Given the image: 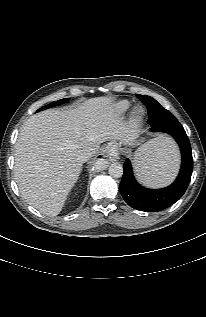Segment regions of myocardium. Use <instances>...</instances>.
Segmentation results:
<instances>
[{
	"mask_svg": "<svg viewBox=\"0 0 206 317\" xmlns=\"http://www.w3.org/2000/svg\"><path fill=\"white\" fill-rule=\"evenodd\" d=\"M144 115V109L142 107H137L135 110H134V119L135 120H139L143 117Z\"/></svg>",
	"mask_w": 206,
	"mask_h": 317,
	"instance_id": "1",
	"label": "myocardium"
}]
</instances>
